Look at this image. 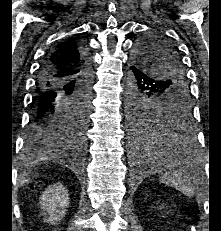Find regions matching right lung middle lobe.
<instances>
[{"instance_id": "1", "label": "right lung middle lobe", "mask_w": 221, "mask_h": 231, "mask_svg": "<svg viewBox=\"0 0 221 231\" xmlns=\"http://www.w3.org/2000/svg\"><path fill=\"white\" fill-rule=\"evenodd\" d=\"M90 103L85 102L83 97H78L66 106L62 122L67 134L77 143H85V131L88 123Z\"/></svg>"}]
</instances>
